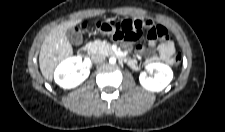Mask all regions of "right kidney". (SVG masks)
<instances>
[{"label":"right kidney","mask_w":225,"mask_h":132,"mask_svg":"<svg viewBox=\"0 0 225 132\" xmlns=\"http://www.w3.org/2000/svg\"><path fill=\"white\" fill-rule=\"evenodd\" d=\"M90 74L89 69L82 67L80 57L67 58L55 70V82L64 89L75 88L80 85Z\"/></svg>","instance_id":"1"}]
</instances>
